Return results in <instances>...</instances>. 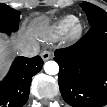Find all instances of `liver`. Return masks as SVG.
<instances>
[{
	"label": "liver",
	"mask_w": 107,
	"mask_h": 107,
	"mask_svg": "<svg viewBox=\"0 0 107 107\" xmlns=\"http://www.w3.org/2000/svg\"><path fill=\"white\" fill-rule=\"evenodd\" d=\"M49 19L45 16H40L34 19L29 29L21 30L16 38L9 42L4 37L0 39V68L1 73H4L9 64L10 58L14 52L23 44L37 45L38 38L49 30Z\"/></svg>",
	"instance_id": "1"
}]
</instances>
